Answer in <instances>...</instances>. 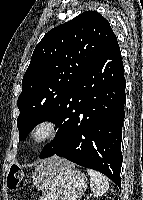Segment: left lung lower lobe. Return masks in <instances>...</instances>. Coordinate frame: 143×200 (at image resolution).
Instances as JSON below:
<instances>
[{"mask_svg":"<svg viewBox=\"0 0 143 200\" xmlns=\"http://www.w3.org/2000/svg\"><path fill=\"white\" fill-rule=\"evenodd\" d=\"M126 81L116 36L83 72L68 96V121L44 148L53 155L97 170L119 187Z\"/></svg>","mask_w":143,"mask_h":200,"instance_id":"obj_1","label":"left lung lower lobe"}]
</instances>
